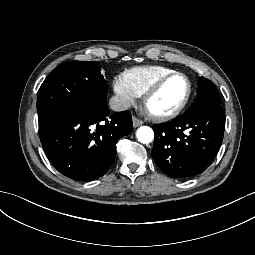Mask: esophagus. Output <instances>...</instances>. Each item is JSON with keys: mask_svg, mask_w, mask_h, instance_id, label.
<instances>
[{"mask_svg": "<svg viewBox=\"0 0 255 255\" xmlns=\"http://www.w3.org/2000/svg\"><path fill=\"white\" fill-rule=\"evenodd\" d=\"M133 127H138L143 124V121L138 119L137 117L133 116Z\"/></svg>", "mask_w": 255, "mask_h": 255, "instance_id": "1", "label": "esophagus"}]
</instances>
